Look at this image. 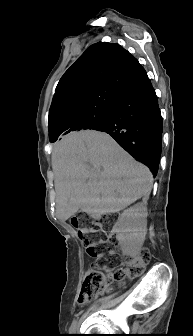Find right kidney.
Returning <instances> with one entry per match:
<instances>
[{"label":"right kidney","instance_id":"ca27d5eb","mask_svg":"<svg viewBox=\"0 0 193 336\" xmlns=\"http://www.w3.org/2000/svg\"><path fill=\"white\" fill-rule=\"evenodd\" d=\"M146 203H137L124 210L120 215L116 229V238L124 253H137L147 233Z\"/></svg>","mask_w":193,"mask_h":336}]
</instances>
